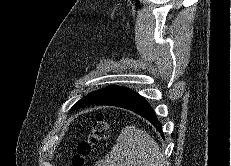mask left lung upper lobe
I'll return each instance as SVG.
<instances>
[{
  "instance_id": "1",
  "label": "left lung upper lobe",
  "mask_w": 231,
  "mask_h": 166,
  "mask_svg": "<svg viewBox=\"0 0 231 166\" xmlns=\"http://www.w3.org/2000/svg\"><path fill=\"white\" fill-rule=\"evenodd\" d=\"M117 85H110L106 88H102L100 90L94 91L90 94H88L87 96H84L82 99H80L72 108L71 110H76L82 107H85L87 105H90L95 99H97L98 97L104 95L105 93H108L112 90H114L115 88H117Z\"/></svg>"
}]
</instances>
